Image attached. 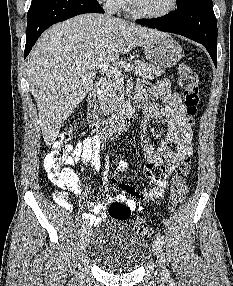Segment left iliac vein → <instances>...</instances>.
<instances>
[{
    "instance_id": "left-iliac-vein-1",
    "label": "left iliac vein",
    "mask_w": 233,
    "mask_h": 286,
    "mask_svg": "<svg viewBox=\"0 0 233 286\" xmlns=\"http://www.w3.org/2000/svg\"><path fill=\"white\" fill-rule=\"evenodd\" d=\"M152 248H153V252L155 254V256L157 257V260L160 263L161 269H162V274L167 277L168 276V271L165 267V263H164V256H163V250H162V245L161 243L155 239L152 243Z\"/></svg>"
}]
</instances>
